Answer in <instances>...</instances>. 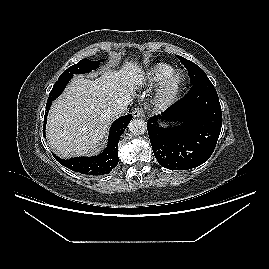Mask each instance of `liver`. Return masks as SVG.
<instances>
[{
    "instance_id": "obj_1",
    "label": "liver",
    "mask_w": 269,
    "mask_h": 269,
    "mask_svg": "<svg viewBox=\"0 0 269 269\" xmlns=\"http://www.w3.org/2000/svg\"><path fill=\"white\" fill-rule=\"evenodd\" d=\"M144 79L137 62L128 60L119 70L105 69L95 79L75 77L49 112L46 133L53 151L71 157L94 149L111 124L108 110L125 100L130 103Z\"/></svg>"
}]
</instances>
